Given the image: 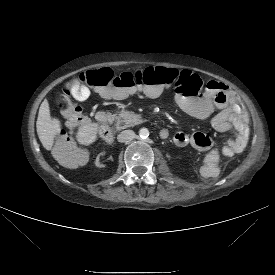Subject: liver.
Returning a JSON list of instances; mask_svg holds the SVG:
<instances>
[{
    "label": "liver",
    "mask_w": 275,
    "mask_h": 275,
    "mask_svg": "<svg viewBox=\"0 0 275 275\" xmlns=\"http://www.w3.org/2000/svg\"><path fill=\"white\" fill-rule=\"evenodd\" d=\"M99 123L92 122L90 119L83 121L76 133L77 141L85 146L93 144L97 140ZM61 122L57 118H52L49 103L44 100L39 108L36 122L38 137L46 150H51L57 134L61 131Z\"/></svg>",
    "instance_id": "obj_1"
}]
</instances>
